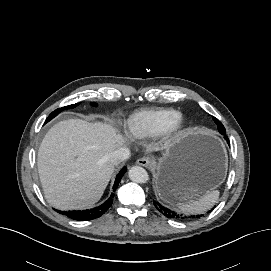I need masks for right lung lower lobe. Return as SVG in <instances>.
I'll return each instance as SVG.
<instances>
[{"mask_svg":"<svg viewBox=\"0 0 271 271\" xmlns=\"http://www.w3.org/2000/svg\"><path fill=\"white\" fill-rule=\"evenodd\" d=\"M126 170H127V168L124 167L117 175L114 186H113L114 192L117 189L118 184H119L121 178L123 177L124 173L126 172ZM113 196H114V194H112L110 196V198L106 202H104L101 206L93 208V209L82 210V211L81 210L69 211V212H62V211L58 210V212L60 214L66 215L67 217H69L73 220H79V221L92 220V219L100 217L109 209V207L113 203Z\"/></svg>","mask_w":271,"mask_h":271,"instance_id":"right-lung-lower-lobe-1","label":"right lung lower lobe"}]
</instances>
